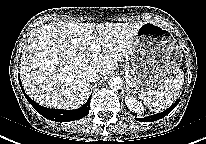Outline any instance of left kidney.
<instances>
[{
  "label": "left kidney",
  "mask_w": 206,
  "mask_h": 144,
  "mask_svg": "<svg viewBox=\"0 0 206 144\" xmlns=\"http://www.w3.org/2000/svg\"><path fill=\"white\" fill-rule=\"evenodd\" d=\"M125 104L130 111L136 112L138 114H142L144 112V107L142 106V104L137 101L133 96L127 95L125 97Z\"/></svg>",
  "instance_id": "5707ae66"
}]
</instances>
